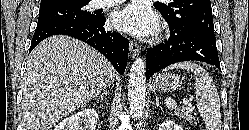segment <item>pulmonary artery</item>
<instances>
[{
	"label": "pulmonary artery",
	"mask_w": 249,
	"mask_h": 130,
	"mask_svg": "<svg viewBox=\"0 0 249 130\" xmlns=\"http://www.w3.org/2000/svg\"><path fill=\"white\" fill-rule=\"evenodd\" d=\"M124 0H94L96 8L109 7L123 2Z\"/></svg>",
	"instance_id": "obj_1"
}]
</instances>
